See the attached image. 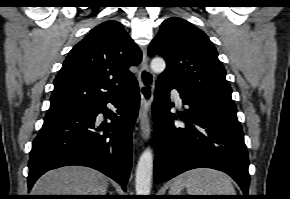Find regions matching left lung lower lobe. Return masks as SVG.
I'll list each match as a JSON object with an SVG mask.
<instances>
[{
    "instance_id": "obj_1",
    "label": "left lung lower lobe",
    "mask_w": 290,
    "mask_h": 199,
    "mask_svg": "<svg viewBox=\"0 0 290 199\" xmlns=\"http://www.w3.org/2000/svg\"><path fill=\"white\" fill-rule=\"evenodd\" d=\"M177 89L186 105L182 124L169 112V94ZM235 105L225 104L178 89L158 78L153 103L156 127L154 178L165 182L190 169L206 167L230 175L245 198L249 188L248 153Z\"/></svg>"
}]
</instances>
